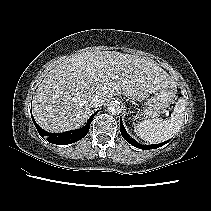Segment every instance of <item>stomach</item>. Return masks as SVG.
I'll return each mask as SVG.
<instances>
[{
	"label": "stomach",
	"mask_w": 211,
	"mask_h": 211,
	"mask_svg": "<svg viewBox=\"0 0 211 211\" xmlns=\"http://www.w3.org/2000/svg\"><path fill=\"white\" fill-rule=\"evenodd\" d=\"M176 94V86L170 83L167 86L154 90L153 92H136L129 97L133 101H142L146 99L139 112L141 118L152 119L161 115L168 108Z\"/></svg>",
	"instance_id": "stomach-1"
}]
</instances>
